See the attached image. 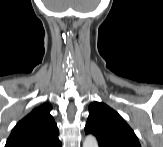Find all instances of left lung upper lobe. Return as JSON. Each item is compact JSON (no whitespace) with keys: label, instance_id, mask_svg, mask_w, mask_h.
I'll list each match as a JSON object with an SVG mask.
<instances>
[{"label":"left lung upper lobe","instance_id":"left-lung-upper-lobe-1","mask_svg":"<svg viewBox=\"0 0 163 147\" xmlns=\"http://www.w3.org/2000/svg\"><path fill=\"white\" fill-rule=\"evenodd\" d=\"M86 134H93L99 147H141L137 136L124 119L102 102L89 105Z\"/></svg>","mask_w":163,"mask_h":147}]
</instances>
